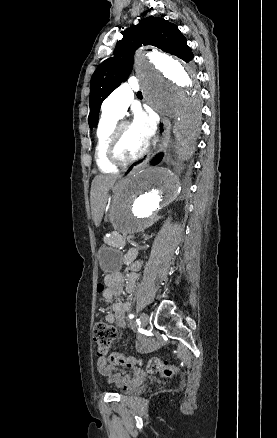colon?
Listing matches in <instances>:
<instances>
[{"mask_svg":"<svg viewBox=\"0 0 277 438\" xmlns=\"http://www.w3.org/2000/svg\"><path fill=\"white\" fill-rule=\"evenodd\" d=\"M101 288H103L102 285H100V289ZM116 335V329L105 322H97L93 326L94 346L101 355H108L107 351L111 349L113 342L116 339ZM107 361L124 366H132L141 363V361L135 360L131 357H126L120 353H112L108 355ZM148 369L152 373H160L165 378H172L178 373L177 366L166 365L157 357L150 359ZM175 386L177 389H184L186 383L184 380H177Z\"/></svg>","mask_w":277,"mask_h":438,"instance_id":"5ec220e1","label":"colon"}]
</instances>
